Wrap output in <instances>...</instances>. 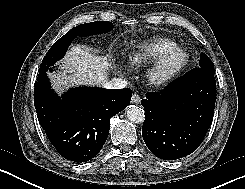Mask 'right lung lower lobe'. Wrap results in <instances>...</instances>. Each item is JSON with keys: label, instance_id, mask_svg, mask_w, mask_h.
Instances as JSON below:
<instances>
[{"label": "right lung lower lobe", "instance_id": "right-lung-lower-lobe-1", "mask_svg": "<svg viewBox=\"0 0 245 189\" xmlns=\"http://www.w3.org/2000/svg\"><path fill=\"white\" fill-rule=\"evenodd\" d=\"M39 123L57 152L65 159L85 162L102 149L110 118L130 103L132 91L81 87L61 98L51 89L46 72L34 85Z\"/></svg>", "mask_w": 245, "mask_h": 189}]
</instances>
